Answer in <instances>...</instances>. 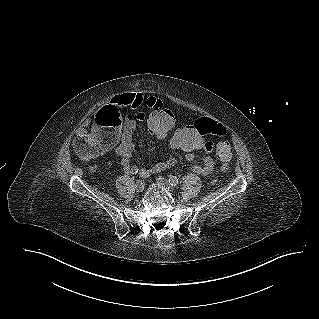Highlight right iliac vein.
<instances>
[{
    "label": "right iliac vein",
    "mask_w": 319,
    "mask_h": 319,
    "mask_svg": "<svg viewBox=\"0 0 319 319\" xmlns=\"http://www.w3.org/2000/svg\"><path fill=\"white\" fill-rule=\"evenodd\" d=\"M145 183L142 180H137L135 183L136 192H142L144 190Z\"/></svg>",
    "instance_id": "63e3f726"
}]
</instances>
